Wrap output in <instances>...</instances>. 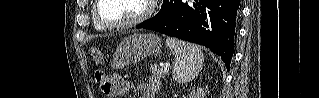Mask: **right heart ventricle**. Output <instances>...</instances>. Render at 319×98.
I'll use <instances>...</instances> for the list:
<instances>
[{
    "label": "right heart ventricle",
    "instance_id": "right-heart-ventricle-1",
    "mask_svg": "<svg viewBox=\"0 0 319 98\" xmlns=\"http://www.w3.org/2000/svg\"><path fill=\"white\" fill-rule=\"evenodd\" d=\"M94 27L96 30H102L103 28L99 26L95 21H94Z\"/></svg>",
    "mask_w": 319,
    "mask_h": 98
}]
</instances>
